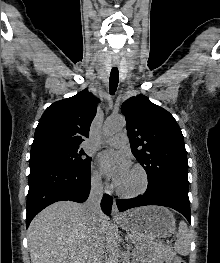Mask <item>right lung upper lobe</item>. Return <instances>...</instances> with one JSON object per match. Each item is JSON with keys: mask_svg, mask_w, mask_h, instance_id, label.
<instances>
[{"mask_svg": "<svg viewBox=\"0 0 220 263\" xmlns=\"http://www.w3.org/2000/svg\"><path fill=\"white\" fill-rule=\"evenodd\" d=\"M97 99L87 89L50 105L39 120L31 153L80 147L96 115Z\"/></svg>", "mask_w": 220, "mask_h": 263, "instance_id": "1", "label": "right lung upper lobe"}]
</instances>
